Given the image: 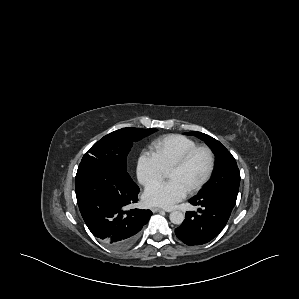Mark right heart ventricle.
I'll list each match as a JSON object with an SVG mask.
<instances>
[{
    "label": "right heart ventricle",
    "instance_id": "obj_1",
    "mask_svg": "<svg viewBox=\"0 0 299 299\" xmlns=\"http://www.w3.org/2000/svg\"><path fill=\"white\" fill-rule=\"evenodd\" d=\"M197 146V143L181 134H170L152 143L154 154L158 158L165 171L170 167L189 149Z\"/></svg>",
    "mask_w": 299,
    "mask_h": 299
}]
</instances>
